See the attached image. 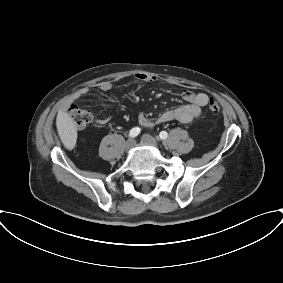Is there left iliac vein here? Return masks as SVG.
Here are the masks:
<instances>
[{
	"label": "left iliac vein",
	"instance_id": "obj_1",
	"mask_svg": "<svg viewBox=\"0 0 283 283\" xmlns=\"http://www.w3.org/2000/svg\"><path fill=\"white\" fill-rule=\"evenodd\" d=\"M142 141L146 144H150V145H153V146H157V141L155 138H153L151 135L149 134H144L142 136Z\"/></svg>",
	"mask_w": 283,
	"mask_h": 283
}]
</instances>
